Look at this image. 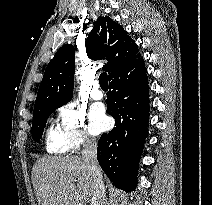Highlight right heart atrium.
<instances>
[{
    "label": "right heart atrium",
    "instance_id": "1",
    "mask_svg": "<svg viewBox=\"0 0 212 205\" xmlns=\"http://www.w3.org/2000/svg\"><path fill=\"white\" fill-rule=\"evenodd\" d=\"M59 131L69 150L95 143L86 119L85 111L73 103H67L58 110Z\"/></svg>",
    "mask_w": 212,
    "mask_h": 205
}]
</instances>
